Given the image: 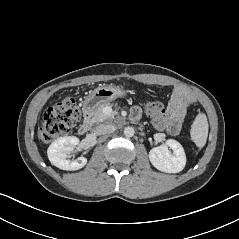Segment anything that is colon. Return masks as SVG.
Returning <instances> with one entry per match:
<instances>
[{
	"instance_id": "colon-1",
	"label": "colon",
	"mask_w": 239,
	"mask_h": 239,
	"mask_svg": "<svg viewBox=\"0 0 239 239\" xmlns=\"http://www.w3.org/2000/svg\"><path fill=\"white\" fill-rule=\"evenodd\" d=\"M146 112L147 120L153 130L169 133L168 124L165 121L167 113L160 102L147 101ZM80 119L81 113L75 100L66 98L46 109L39 127V137L42 141L49 142L68 133Z\"/></svg>"
}]
</instances>
